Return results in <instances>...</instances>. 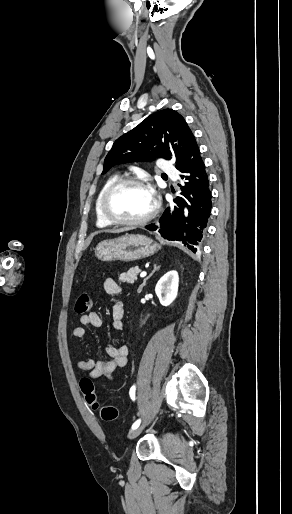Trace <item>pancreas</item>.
Returning <instances> with one entry per match:
<instances>
[{"label": "pancreas", "mask_w": 292, "mask_h": 514, "mask_svg": "<svg viewBox=\"0 0 292 514\" xmlns=\"http://www.w3.org/2000/svg\"><path fill=\"white\" fill-rule=\"evenodd\" d=\"M140 270L138 268H130L128 272H124V274H120L119 280L120 282H127V284H134V280H138L137 276Z\"/></svg>", "instance_id": "obj_1"}]
</instances>
